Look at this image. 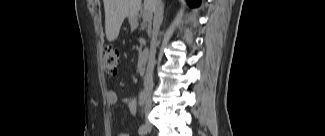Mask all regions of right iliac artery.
Listing matches in <instances>:
<instances>
[{"label":"right iliac artery","mask_w":325,"mask_h":136,"mask_svg":"<svg viewBox=\"0 0 325 136\" xmlns=\"http://www.w3.org/2000/svg\"><path fill=\"white\" fill-rule=\"evenodd\" d=\"M146 133H147V128H146V126H145V125L140 126V128H139V134H140L141 136H143V135H145Z\"/></svg>","instance_id":"obj_1"}]
</instances>
